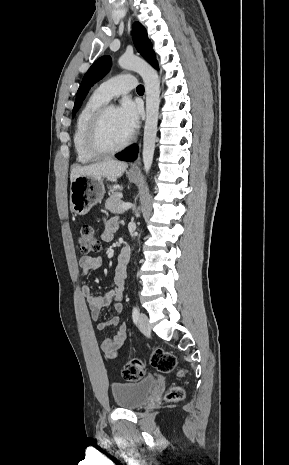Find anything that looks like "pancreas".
Listing matches in <instances>:
<instances>
[{"mask_svg": "<svg viewBox=\"0 0 289 465\" xmlns=\"http://www.w3.org/2000/svg\"><path fill=\"white\" fill-rule=\"evenodd\" d=\"M122 193L120 192H117V193H113L107 200H106V203H105V208L112 212V213H115V214H122L125 212V210H123L121 208L122 204L124 203L122 200Z\"/></svg>", "mask_w": 289, "mask_h": 465, "instance_id": "1", "label": "pancreas"}]
</instances>
